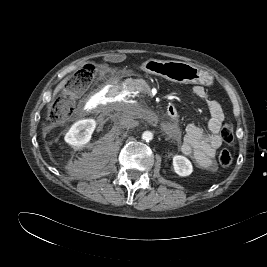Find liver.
Instances as JSON below:
<instances>
[{
    "mask_svg": "<svg viewBox=\"0 0 267 267\" xmlns=\"http://www.w3.org/2000/svg\"><path fill=\"white\" fill-rule=\"evenodd\" d=\"M70 79V76L64 78L57 86L56 88L54 89L53 91V98L57 95V93H59L63 88L64 86L66 85L67 81Z\"/></svg>",
    "mask_w": 267,
    "mask_h": 267,
    "instance_id": "obj_1",
    "label": "liver"
}]
</instances>
